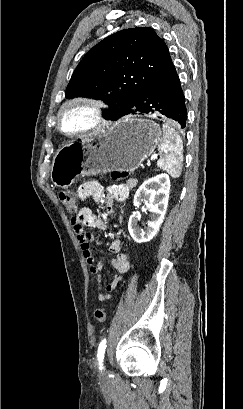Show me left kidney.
Returning <instances> with one entry per match:
<instances>
[{
  "mask_svg": "<svg viewBox=\"0 0 243 409\" xmlns=\"http://www.w3.org/2000/svg\"><path fill=\"white\" fill-rule=\"evenodd\" d=\"M170 186L169 176L162 173L144 181L136 191L134 206L138 207L144 201L152 214L148 221V228L145 230L138 225L140 220L138 214L134 213L130 216L128 230L135 242H148L157 234L166 214Z\"/></svg>",
  "mask_w": 243,
  "mask_h": 409,
  "instance_id": "5707ae66",
  "label": "left kidney"
}]
</instances>
